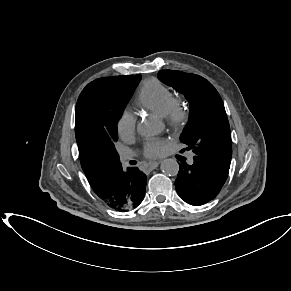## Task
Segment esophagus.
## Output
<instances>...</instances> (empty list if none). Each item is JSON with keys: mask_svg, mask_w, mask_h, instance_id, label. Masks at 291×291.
<instances>
[{"mask_svg": "<svg viewBox=\"0 0 291 291\" xmlns=\"http://www.w3.org/2000/svg\"><path fill=\"white\" fill-rule=\"evenodd\" d=\"M159 164H160V161L150 162V163L148 164V168H149L150 170H153V169H155Z\"/></svg>", "mask_w": 291, "mask_h": 291, "instance_id": "1", "label": "esophagus"}]
</instances>
